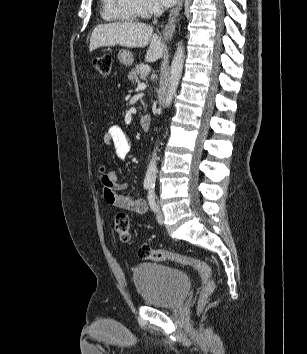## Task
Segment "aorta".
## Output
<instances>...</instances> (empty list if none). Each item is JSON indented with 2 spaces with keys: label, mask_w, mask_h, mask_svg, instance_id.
Masks as SVG:
<instances>
[{
  "label": "aorta",
  "mask_w": 307,
  "mask_h": 354,
  "mask_svg": "<svg viewBox=\"0 0 307 354\" xmlns=\"http://www.w3.org/2000/svg\"><path fill=\"white\" fill-rule=\"evenodd\" d=\"M185 59L184 46L181 43H178L176 52L174 54L171 67H170V77H169V86L165 98V105L169 107L172 103L174 96L182 76L183 65ZM157 151L158 146L156 145L152 153L151 160L148 164L144 183L147 185H154L156 181L157 174Z\"/></svg>",
  "instance_id": "aorta-1"
}]
</instances>
